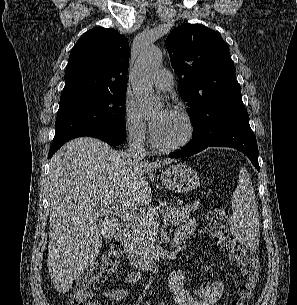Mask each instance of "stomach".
Returning <instances> with one entry per match:
<instances>
[{
	"instance_id": "1",
	"label": "stomach",
	"mask_w": 297,
	"mask_h": 305,
	"mask_svg": "<svg viewBox=\"0 0 297 305\" xmlns=\"http://www.w3.org/2000/svg\"><path fill=\"white\" fill-rule=\"evenodd\" d=\"M163 185L174 192L186 193L199 186V177L195 170L183 164H177L162 171Z\"/></svg>"
}]
</instances>
